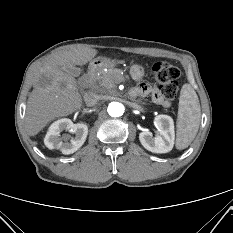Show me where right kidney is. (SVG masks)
<instances>
[{
  "mask_svg": "<svg viewBox=\"0 0 233 233\" xmlns=\"http://www.w3.org/2000/svg\"><path fill=\"white\" fill-rule=\"evenodd\" d=\"M64 130L75 134V136L65 135L60 138V133ZM87 135L88 126L86 124H74L70 119L63 118L50 125L44 143L49 149H60L65 155L72 154L84 144Z\"/></svg>",
  "mask_w": 233,
  "mask_h": 233,
  "instance_id": "1",
  "label": "right kidney"
}]
</instances>
